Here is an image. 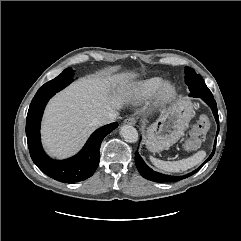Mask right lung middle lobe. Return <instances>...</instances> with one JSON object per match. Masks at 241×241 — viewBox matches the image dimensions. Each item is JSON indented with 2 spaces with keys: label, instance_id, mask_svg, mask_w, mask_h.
<instances>
[{
  "label": "right lung middle lobe",
  "instance_id": "obj_1",
  "mask_svg": "<svg viewBox=\"0 0 241 241\" xmlns=\"http://www.w3.org/2000/svg\"><path fill=\"white\" fill-rule=\"evenodd\" d=\"M74 75L73 70L71 68L65 69L59 76H57L55 79L45 83L36 93L35 97L39 96H46L55 94L56 92L62 90L67 85H69Z\"/></svg>",
  "mask_w": 241,
  "mask_h": 241
}]
</instances>
